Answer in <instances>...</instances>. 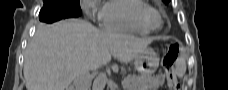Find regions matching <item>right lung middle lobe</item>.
Instances as JSON below:
<instances>
[{
    "instance_id": "dd1d6c3e",
    "label": "right lung middle lobe",
    "mask_w": 228,
    "mask_h": 90,
    "mask_svg": "<svg viewBox=\"0 0 228 90\" xmlns=\"http://www.w3.org/2000/svg\"><path fill=\"white\" fill-rule=\"evenodd\" d=\"M44 5H55L59 12L69 17H78L81 14L80 0H43Z\"/></svg>"
}]
</instances>
